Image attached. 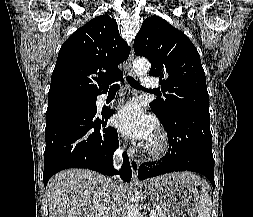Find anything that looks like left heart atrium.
<instances>
[{
  "label": "left heart atrium",
  "mask_w": 253,
  "mask_h": 217,
  "mask_svg": "<svg viewBox=\"0 0 253 217\" xmlns=\"http://www.w3.org/2000/svg\"><path fill=\"white\" fill-rule=\"evenodd\" d=\"M114 124L120 132L133 139L150 141L157 129L155 119L147 115L135 102H130L119 109L114 117Z\"/></svg>",
  "instance_id": "39dd6f15"
}]
</instances>
